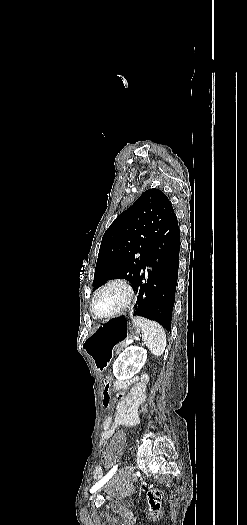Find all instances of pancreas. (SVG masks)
<instances>
[{
  "label": "pancreas",
  "instance_id": "1",
  "mask_svg": "<svg viewBox=\"0 0 247 525\" xmlns=\"http://www.w3.org/2000/svg\"><path fill=\"white\" fill-rule=\"evenodd\" d=\"M112 351H113L114 353H119L120 351H123V348H120L119 346H114V347L112 348Z\"/></svg>",
  "mask_w": 247,
  "mask_h": 525
}]
</instances>
